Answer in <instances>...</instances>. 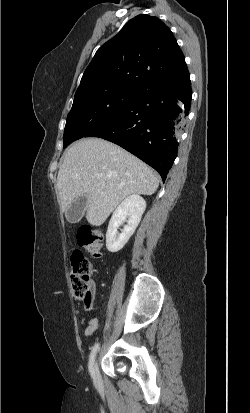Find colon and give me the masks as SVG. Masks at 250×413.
Instances as JSON below:
<instances>
[{
  "label": "colon",
  "mask_w": 250,
  "mask_h": 413,
  "mask_svg": "<svg viewBox=\"0 0 250 413\" xmlns=\"http://www.w3.org/2000/svg\"><path fill=\"white\" fill-rule=\"evenodd\" d=\"M77 242L93 257L102 254L103 235L100 230L90 225H83L77 231ZM71 286L75 298L91 306L95 296L93 280L94 267L90 260L81 252L74 251L71 256Z\"/></svg>",
  "instance_id": "colon-1"
}]
</instances>
